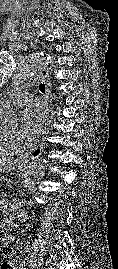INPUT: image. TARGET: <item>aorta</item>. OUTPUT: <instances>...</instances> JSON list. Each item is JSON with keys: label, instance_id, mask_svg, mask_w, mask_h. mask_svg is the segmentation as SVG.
I'll list each match as a JSON object with an SVG mask.
<instances>
[{"label": "aorta", "instance_id": "1", "mask_svg": "<svg viewBox=\"0 0 118 269\" xmlns=\"http://www.w3.org/2000/svg\"><path fill=\"white\" fill-rule=\"evenodd\" d=\"M50 57L44 53H33L26 56L20 63L14 83L21 82L47 65ZM0 119L2 124L7 128H15L19 125L21 114L19 110L14 108L9 101L0 105ZM49 167L46 159L33 163L25 170L23 175V184L27 187L35 180L40 179Z\"/></svg>", "mask_w": 118, "mask_h": 269}]
</instances>
